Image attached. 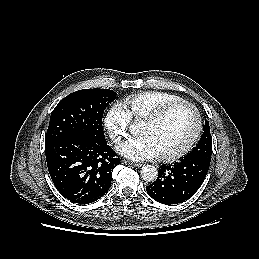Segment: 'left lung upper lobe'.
Returning a JSON list of instances; mask_svg holds the SVG:
<instances>
[{
	"label": "left lung upper lobe",
	"mask_w": 259,
	"mask_h": 259,
	"mask_svg": "<svg viewBox=\"0 0 259 259\" xmlns=\"http://www.w3.org/2000/svg\"><path fill=\"white\" fill-rule=\"evenodd\" d=\"M203 131L204 132L201 136L200 141L198 142L196 147H194L192 151L189 152L187 155L210 162L212 154V138L210 134L209 122L207 120L205 121V125L203 126Z\"/></svg>",
	"instance_id": "5c2ea615"
}]
</instances>
